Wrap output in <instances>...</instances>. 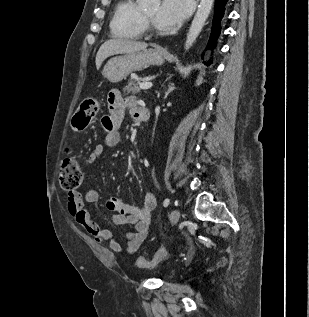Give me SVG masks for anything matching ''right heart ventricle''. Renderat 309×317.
Wrapping results in <instances>:
<instances>
[{"mask_svg": "<svg viewBox=\"0 0 309 317\" xmlns=\"http://www.w3.org/2000/svg\"><path fill=\"white\" fill-rule=\"evenodd\" d=\"M113 34L120 38L139 39L142 37L145 24L143 13L135 0H120L111 21Z\"/></svg>", "mask_w": 309, "mask_h": 317, "instance_id": "1", "label": "right heart ventricle"}]
</instances>
